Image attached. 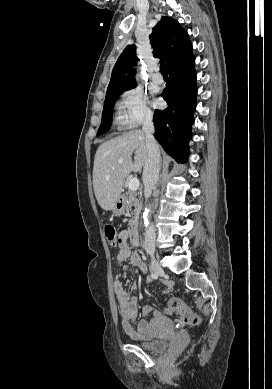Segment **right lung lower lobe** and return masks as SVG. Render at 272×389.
<instances>
[{
  "label": "right lung lower lobe",
  "instance_id": "98d812e1",
  "mask_svg": "<svg viewBox=\"0 0 272 389\" xmlns=\"http://www.w3.org/2000/svg\"><path fill=\"white\" fill-rule=\"evenodd\" d=\"M194 64L195 57L191 55L168 70L169 80L161 94L168 107L154 113V137L178 162H186L192 137L197 95Z\"/></svg>",
  "mask_w": 272,
  "mask_h": 389
}]
</instances>
